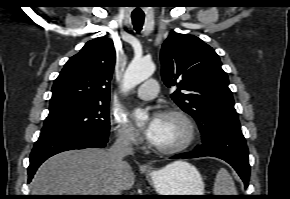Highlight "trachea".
<instances>
[{
  "label": "trachea",
  "mask_w": 290,
  "mask_h": 199,
  "mask_svg": "<svg viewBox=\"0 0 290 199\" xmlns=\"http://www.w3.org/2000/svg\"><path fill=\"white\" fill-rule=\"evenodd\" d=\"M132 22L137 32H140L144 23V15H132Z\"/></svg>",
  "instance_id": "trachea-1"
}]
</instances>
